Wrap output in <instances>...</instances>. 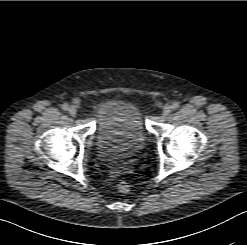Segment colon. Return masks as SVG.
I'll return each mask as SVG.
<instances>
[{"label": "colon", "instance_id": "obj_1", "mask_svg": "<svg viewBox=\"0 0 247 245\" xmlns=\"http://www.w3.org/2000/svg\"><path fill=\"white\" fill-rule=\"evenodd\" d=\"M117 188L121 193H128L130 190L129 184L125 181H120Z\"/></svg>", "mask_w": 247, "mask_h": 245}]
</instances>
